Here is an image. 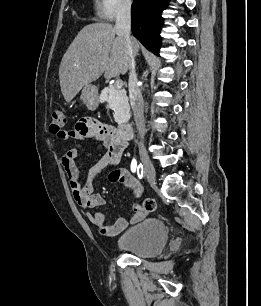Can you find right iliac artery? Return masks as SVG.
<instances>
[{
    "instance_id": "obj_1",
    "label": "right iliac artery",
    "mask_w": 261,
    "mask_h": 306,
    "mask_svg": "<svg viewBox=\"0 0 261 306\" xmlns=\"http://www.w3.org/2000/svg\"><path fill=\"white\" fill-rule=\"evenodd\" d=\"M136 168H137L138 177H139L140 179H142L143 174H144L143 165H142V164H139V165L137 166V161H136L135 159H133L132 162H131V170H132V172H135V171H136Z\"/></svg>"
}]
</instances>
